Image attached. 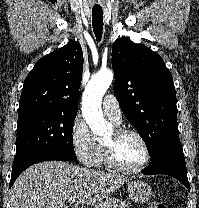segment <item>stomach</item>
Instances as JSON below:
<instances>
[{
    "label": "stomach",
    "mask_w": 199,
    "mask_h": 208,
    "mask_svg": "<svg viewBox=\"0 0 199 208\" xmlns=\"http://www.w3.org/2000/svg\"><path fill=\"white\" fill-rule=\"evenodd\" d=\"M127 190L129 198L137 203H144L152 196L150 186L144 181L134 180L128 182Z\"/></svg>",
    "instance_id": "0dacf381"
}]
</instances>
